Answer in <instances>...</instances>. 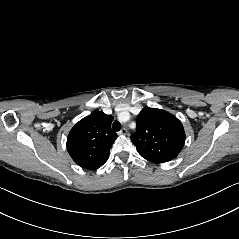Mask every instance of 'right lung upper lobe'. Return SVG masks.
I'll list each match as a JSON object with an SVG mask.
<instances>
[{
    "label": "right lung upper lobe",
    "mask_w": 239,
    "mask_h": 239,
    "mask_svg": "<svg viewBox=\"0 0 239 239\" xmlns=\"http://www.w3.org/2000/svg\"><path fill=\"white\" fill-rule=\"evenodd\" d=\"M113 117L95 110L81 119L71 129L67 138V150L81 167L94 170L108 159L117 134L111 130Z\"/></svg>",
    "instance_id": "obj_1"
}]
</instances>
